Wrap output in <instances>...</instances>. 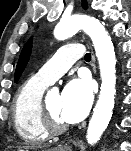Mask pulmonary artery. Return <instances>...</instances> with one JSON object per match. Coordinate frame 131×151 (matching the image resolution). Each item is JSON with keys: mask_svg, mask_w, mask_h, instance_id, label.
<instances>
[{"mask_svg": "<svg viewBox=\"0 0 131 151\" xmlns=\"http://www.w3.org/2000/svg\"><path fill=\"white\" fill-rule=\"evenodd\" d=\"M84 54L83 46L79 43H69L57 50L36 73L40 80L51 84L61 77Z\"/></svg>", "mask_w": 131, "mask_h": 151, "instance_id": "1", "label": "pulmonary artery"}]
</instances>
